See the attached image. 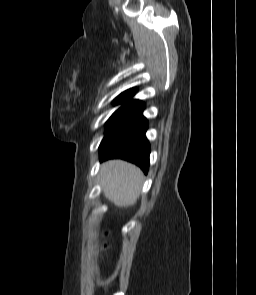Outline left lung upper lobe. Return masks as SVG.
Instances as JSON below:
<instances>
[{"mask_svg":"<svg viewBox=\"0 0 256 295\" xmlns=\"http://www.w3.org/2000/svg\"><path fill=\"white\" fill-rule=\"evenodd\" d=\"M134 93L135 89H129L121 93L115 99V104L124 103V105L116 110L106 122L105 135L116 128L120 123H122L132 114L144 107V104L141 101L130 100Z\"/></svg>","mask_w":256,"mask_h":295,"instance_id":"5c2ea615","label":"left lung upper lobe"}]
</instances>
